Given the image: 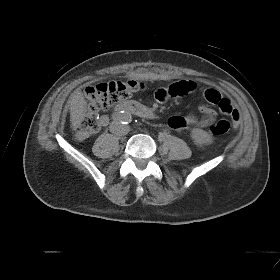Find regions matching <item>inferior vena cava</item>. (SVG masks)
<instances>
[{
    "mask_svg": "<svg viewBox=\"0 0 280 280\" xmlns=\"http://www.w3.org/2000/svg\"><path fill=\"white\" fill-rule=\"evenodd\" d=\"M109 128L113 134L118 136L126 135L128 133V129L126 128V126L118 122H112Z\"/></svg>",
    "mask_w": 280,
    "mask_h": 280,
    "instance_id": "1",
    "label": "inferior vena cava"
}]
</instances>
